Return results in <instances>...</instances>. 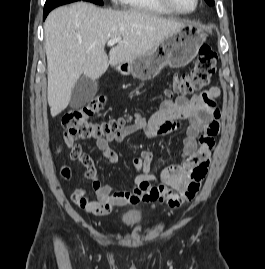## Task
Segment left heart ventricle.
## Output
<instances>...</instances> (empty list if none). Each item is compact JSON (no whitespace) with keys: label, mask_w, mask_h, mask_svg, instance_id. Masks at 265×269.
<instances>
[{"label":"left heart ventricle","mask_w":265,"mask_h":269,"mask_svg":"<svg viewBox=\"0 0 265 269\" xmlns=\"http://www.w3.org/2000/svg\"><path fill=\"white\" fill-rule=\"evenodd\" d=\"M171 3L182 10H191L195 5V0H170Z\"/></svg>","instance_id":"obj_1"}]
</instances>
